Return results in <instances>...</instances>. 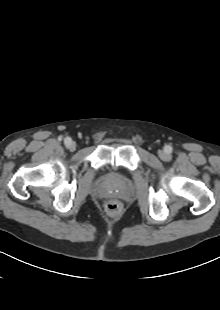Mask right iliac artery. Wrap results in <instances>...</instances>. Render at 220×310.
Listing matches in <instances>:
<instances>
[{
	"label": "right iliac artery",
	"mask_w": 220,
	"mask_h": 310,
	"mask_svg": "<svg viewBox=\"0 0 220 310\" xmlns=\"http://www.w3.org/2000/svg\"><path fill=\"white\" fill-rule=\"evenodd\" d=\"M70 141H71V138H69V137H66V138L64 139L65 144H69Z\"/></svg>",
	"instance_id": "1"
}]
</instances>
